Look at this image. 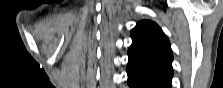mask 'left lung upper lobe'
<instances>
[{
  "mask_svg": "<svg viewBox=\"0 0 223 88\" xmlns=\"http://www.w3.org/2000/svg\"><path fill=\"white\" fill-rule=\"evenodd\" d=\"M132 45L128 50L129 62L165 72L173 76V54L168 38L158 25L144 20L131 31Z\"/></svg>",
  "mask_w": 223,
  "mask_h": 88,
  "instance_id": "5c2ea615",
  "label": "left lung upper lobe"
}]
</instances>
